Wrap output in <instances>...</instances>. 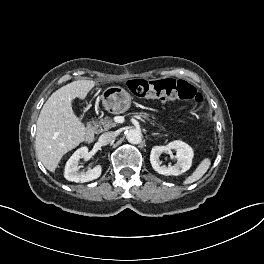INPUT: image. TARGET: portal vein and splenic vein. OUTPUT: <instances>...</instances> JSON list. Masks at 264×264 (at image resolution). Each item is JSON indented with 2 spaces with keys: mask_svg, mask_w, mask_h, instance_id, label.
<instances>
[{
  "mask_svg": "<svg viewBox=\"0 0 264 264\" xmlns=\"http://www.w3.org/2000/svg\"><path fill=\"white\" fill-rule=\"evenodd\" d=\"M137 119H141L139 116H135ZM142 120V119H141ZM142 121H144V120H142Z\"/></svg>",
  "mask_w": 264,
  "mask_h": 264,
  "instance_id": "1",
  "label": "portal vein and splenic vein"
}]
</instances>
